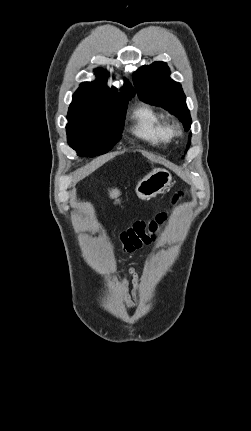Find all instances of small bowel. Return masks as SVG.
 I'll return each mask as SVG.
<instances>
[{"label":"small bowel","mask_w":251,"mask_h":431,"mask_svg":"<svg viewBox=\"0 0 251 431\" xmlns=\"http://www.w3.org/2000/svg\"><path fill=\"white\" fill-rule=\"evenodd\" d=\"M140 277L138 272L130 267L124 274L122 279V291L124 301L128 308L135 309L138 301V285Z\"/></svg>","instance_id":"1"}]
</instances>
